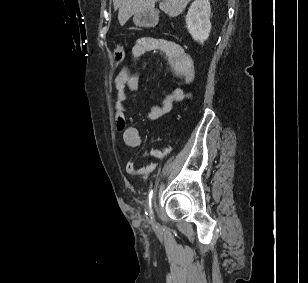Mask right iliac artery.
<instances>
[{"mask_svg": "<svg viewBox=\"0 0 308 283\" xmlns=\"http://www.w3.org/2000/svg\"><path fill=\"white\" fill-rule=\"evenodd\" d=\"M152 194H153V190H151L149 192V196H148V200H147V204H146V207H147V212L146 215H149L151 214V199H152ZM151 220H152V217H151Z\"/></svg>", "mask_w": 308, "mask_h": 283, "instance_id": "82829eb1", "label": "right iliac artery"}]
</instances>
